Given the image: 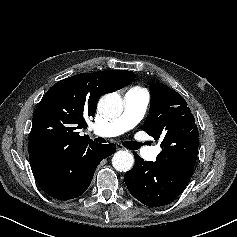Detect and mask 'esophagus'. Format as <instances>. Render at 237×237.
<instances>
[{
	"label": "esophagus",
	"instance_id": "esophagus-1",
	"mask_svg": "<svg viewBox=\"0 0 237 237\" xmlns=\"http://www.w3.org/2000/svg\"><path fill=\"white\" fill-rule=\"evenodd\" d=\"M117 150H125V147L118 143Z\"/></svg>",
	"mask_w": 237,
	"mask_h": 237
}]
</instances>
